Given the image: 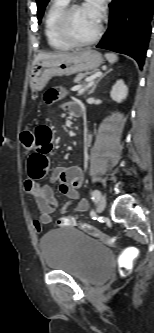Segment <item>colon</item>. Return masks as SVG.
I'll return each mask as SVG.
<instances>
[{
	"label": "colon",
	"mask_w": 154,
	"mask_h": 333,
	"mask_svg": "<svg viewBox=\"0 0 154 333\" xmlns=\"http://www.w3.org/2000/svg\"><path fill=\"white\" fill-rule=\"evenodd\" d=\"M20 140L23 150L26 152L31 151L34 145L33 129L27 128L23 130L20 135ZM57 224L60 227L74 226L76 225V219L70 216L61 217L58 220ZM80 225L82 230L88 233L89 235L97 238L98 240L109 246H114L115 240L113 237L104 234L95 226L89 223L82 222ZM136 256H137V250L135 248H129L126 250L120 264V272L123 275H127L130 273L132 269L133 260L136 258Z\"/></svg>",
	"instance_id": "1"
}]
</instances>
